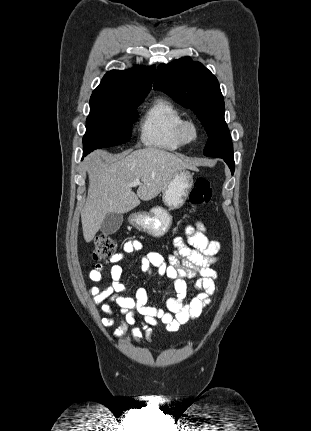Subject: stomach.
<instances>
[{
    "label": "stomach",
    "instance_id": "0dacf381",
    "mask_svg": "<svg viewBox=\"0 0 311 431\" xmlns=\"http://www.w3.org/2000/svg\"><path fill=\"white\" fill-rule=\"evenodd\" d=\"M193 184L192 172L180 170L162 192V202L169 210L162 206H154L150 212H135L128 216L130 225L139 231H146L153 237H162L172 225L173 216H171L170 210H179L184 206Z\"/></svg>",
    "mask_w": 311,
    "mask_h": 431
}]
</instances>
